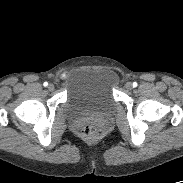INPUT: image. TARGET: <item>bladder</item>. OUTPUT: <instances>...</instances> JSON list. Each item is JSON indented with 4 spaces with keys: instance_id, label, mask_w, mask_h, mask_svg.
<instances>
[{
    "instance_id": "31cf9c89",
    "label": "bladder",
    "mask_w": 183,
    "mask_h": 183,
    "mask_svg": "<svg viewBox=\"0 0 183 183\" xmlns=\"http://www.w3.org/2000/svg\"><path fill=\"white\" fill-rule=\"evenodd\" d=\"M116 101L112 78L101 68H87L76 73L67 89L65 108L69 116L113 112Z\"/></svg>"
}]
</instances>
